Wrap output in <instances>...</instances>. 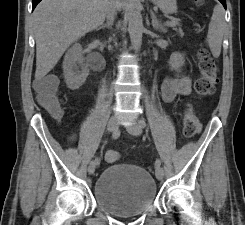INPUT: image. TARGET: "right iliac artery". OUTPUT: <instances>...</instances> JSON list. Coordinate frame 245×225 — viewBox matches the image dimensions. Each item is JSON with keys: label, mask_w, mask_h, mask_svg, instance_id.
Returning a JSON list of instances; mask_svg holds the SVG:
<instances>
[{"label": "right iliac artery", "mask_w": 245, "mask_h": 225, "mask_svg": "<svg viewBox=\"0 0 245 225\" xmlns=\"http://www.w3.org/2000/svg\"><path fill=\"white\" fill-rule=\"evenodd\" d=\"M120 136V132L118 130H116L113 134H112V139H117ZM96 165H100L101 162V158L100 157H96L94 160Z\"/></svg>", "instance_id": "obj_1"}]
</instances>
